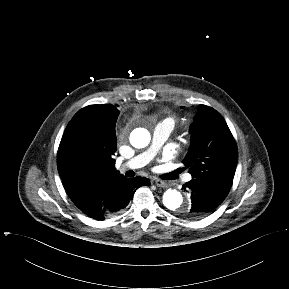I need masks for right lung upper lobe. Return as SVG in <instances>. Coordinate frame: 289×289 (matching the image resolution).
Wrapping results in <instances>:
<instances>
[{
	"label": "right lung upper lobe",
	"mask_w": 289,
	"mask_h": 289,
	"mask_svg": "<svg viewBox=\"0 0 289 289\" xmlns=\"http://www.w3.org/2000/svg\"><path fill=\"white\" fill-rule=\"evenodd\" d=\"M70 128L69 122L59 145L58 172L76 206L86 214H97L109 202L116 186L127 179L115 169L117 139L104 147L82 149L74 145Z\"/></svg>",
	"instance_id": "1"
}]
</instances>
